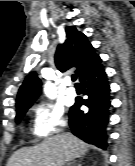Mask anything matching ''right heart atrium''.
Instances as JSON below:
<instances>
[{"label": "right heart atrium", "mask_w": 135, "mask_h": 166, "mask_svg": "<svg viewBox=\"0 0 135 166\" xmlns=\"http://www.w3.org/2000/svg\"><path fill=\"white\" fill-rule=\"evenodd\" d=\"M33 112V135L36 138H47L65 125L64 112L55 105L41 102L34 106Z\"/></svg>", "instance_id": "d8ad5b80"}]
</instances>
